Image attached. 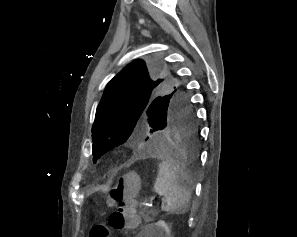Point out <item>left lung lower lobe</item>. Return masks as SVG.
I'll use <instances>...</instances> for the list:
<instances>
[{"label": "left lung lower lobe", "instance_id": "1", "mask_svg": "<svg viewBox=\"0 0 297 237\" xmlns=\"http://www.w3.org/2000/svg\"><path fill=\"white\" fill-rule=\"evenodd\" d=\"M200 135L191 103L176 104L162 126L144 145L139 156H166L186 168H196L199 159Z\"/></svg>", "mask_w": 297, "mask_h": 237}]
</instances>
